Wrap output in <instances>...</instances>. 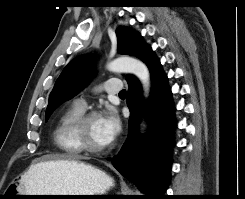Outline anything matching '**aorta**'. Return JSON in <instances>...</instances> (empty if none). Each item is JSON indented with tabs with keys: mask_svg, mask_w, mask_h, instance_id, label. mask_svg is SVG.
<instances>
[{
	"mask_svg": "<svg viewBox=\"0 0 245 199\" xmlns=\"http://www.w3.org/2000/svg\"><path fill=\"white\" fill-rule=\"evenodd\" d=\"M107 68L112 72L133 73L142 84L144 97H149L151 88L150 72L142 61L132 57H119L108 63ZM145 128L146 125L143 120L140 124V131L143 133Z\"/></svg>",
	"mask_w": 245,
	"mask_h": 199,
	"instance_id": "aorta-1",
	"label": "aorta"
}]
</instances>
